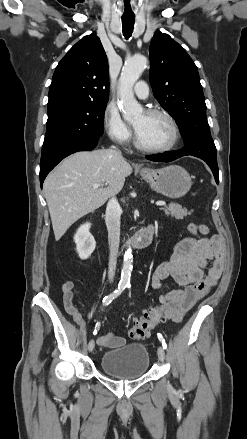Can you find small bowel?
<instances>
[{"label": "small bowel", "mask_w": 247, "mask_h": 439, "mask_svg": "<svg viewBox=\"0 0 247 439\" xmlns=\"http://www.w3.org/2000/svg\"><path fill=\"white\" fill-rule=\"evenodd\" d=\"M200 233L208 234V228L200 225ZM210 266L205 273L208 264ZM224 268V242L220 236L203 238L184 237L175 244L169 261L155 269L151 283L154 289L161 287L163 280L172 278L182 289L172 290L159 297L165 319L181 322L185 314L205 296L218 282ZM74 283L62 284L63 302L66 312L81 327L85 321L74 305ZM101 348L112 349L123 346L126 339L108 333L98 338Z\"/></svg>", "instance_id": "1"}]
</instances>
